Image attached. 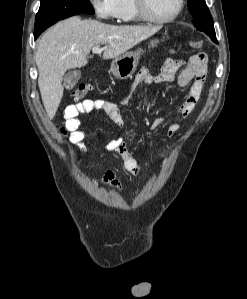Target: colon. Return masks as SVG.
Here are the masks:
<instances>
[{
  "label": "colon",
  "instance_id": "1",
  "mask_svg": "<svg viewBox=\"0 0 247 299\" xmlns=\"http://www.w3.org/2000/svg\"><path fill=\"white\" fill-rule=\"evenodd\" d=\"M190 47L193 49H200L203 46V42L201 40H192L189 43ZM89 91V85L86 83L79 84L73 91L72 97L76 100L82 99Z\"/></svg>",
  "mask_w": 247,
  "mask_h": 299
}]
</instances>
